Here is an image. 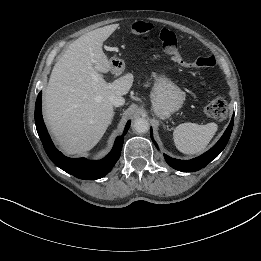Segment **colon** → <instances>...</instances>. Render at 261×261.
<instances>
[{"label": "colon", "mask_w": 261, "mask_h": 261, "mask_svg": "<svg viewBox=\"0 0 261 261\" xmlns=\"http://www.w3.org/2000/svg\"><path fill=\"white\" fill-rule=\"evenodd\" d=\"M152 25L144 22L133 24L132 30L136 34L143 35L147 39L148 33L152 30ZM160 39L165 51L171 56L173 61L185 68H210L215 65V59L211 55H201L193 61H186L181 56L178 47L177 39L173 32L163 29L160 32ZM205 113L216 120H224L227 117V103L222 98H216L207 103Z\"/></svg>", "instance_id": "1"}]
</instances>
